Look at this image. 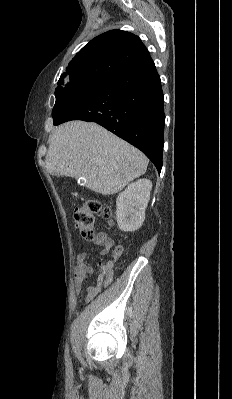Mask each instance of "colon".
I'll list each match as a JSON object with an SVG mask.
<instances>
[{
	"instance_id": "colon-1",
	"label": "colon",
	"mask_w": 232,
	"mask_h": 399,
	"mask_svg": "<svg viewBox=\"0 0 232 399\" xmlns=\"http://www.w3.org/2000/svg\"><path fill=\"white\" fill-rule=\"evenodd\" d=\"M103 204H99L97 200H89L84 205V211L82 209H74V229H79L81 225L80 236L82 239H91L95 226H93V219H98V215L102 217L109 216V211L102 210ZM95 211V214L93 212ZM117 222V212H112V218L108 219V226L112 227L113 223ZM112 250V259L114 261V268H119V261L117 259V253H121L119 244H114ZM96 283H92L93 295L97 296L101 290H107V285H113V267L109 266L105 268V273H96Z\"/></svg>"
}]
</instances>
